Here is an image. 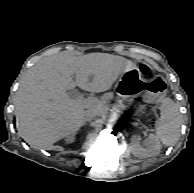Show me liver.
Instances as JSON below:
<instances>
[{
    "label": "liver",
    "instance_id": "6515ba94",
    "mask_svg": "<svg viewBox=\"0 0 194 193\" xmlns=\"http://www.w3.org/2000/svg\"><path fill=\"white\" fill-rule=\"evenodd\" d=\"M134 68L136 64L122 56L99 52L82 56L60 52L42 58L23 75L15 95L20 136L34 148L55 149L54 143L84 125L85 109H99L107 100L74 99L67 90L78 86L105 92L121 74Z\"/></svg>",
    "mask_w": 194,
    "mask_h": 193
}]
</instances>
